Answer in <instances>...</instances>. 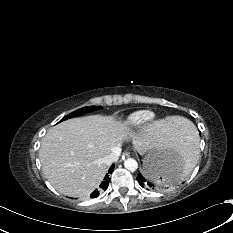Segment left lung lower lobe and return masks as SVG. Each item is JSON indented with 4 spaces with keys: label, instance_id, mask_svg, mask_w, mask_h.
<instances>
[{
    "label": "left lung lower lobe",
    "instance_id": "0a47b994",
    "mask_svg": "<svg viewBox=\"0 0 233 233\" xmlns=\"http://www.w3.org/2000/svg\"><path fill=\"white\" fill-rule=\"evenodd\" d=\"M176 161L164 160L157 161L152 166L145 170L143 174L137 176V181L141 187L147 189H160L165 186V183H172L171 177L176 173ZM155 174L163 175L160 182H156L152 176Z\"/></svg>",
    "mask_w": 233,
    "mask_h": 233
}]
</instances>
